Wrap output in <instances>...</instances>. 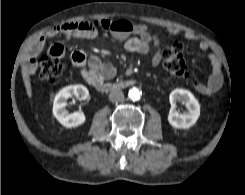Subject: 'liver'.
<instances>
[{
  "mask_svg": "<svg viewBox=\"0 0 245 195\" xmlns=\"http://www.w3.org/2000/svg\"><path fill=\"white\" fill-rule=\"evenodd\" d=\"M22 76H23V82L27 91V95L29 98L32 97V88H31V81L29 77V72L26 69H22Z\"/></svg>",
  "mask_w": 245,
  "mask_h": 195,
  "instance_id": "6515ba94",
  "label": "liver"
}]
</instances>
